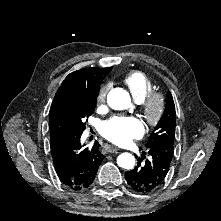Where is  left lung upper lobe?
I'll list each match as a JSON object with an SVG mask.
<instances>
[{
  "mask_svg": "<svg viewBox=\"0 0 221 221\" xmlns=\"http://www.w3.org/2000/svg\"><path fill=\"white\" fill-rule=\"evenodd\" d=\"M176 112L170 92L167 93L165 111L146 143L148 149L158 146L166 147L173 152L175 138Z\"/></svg>",
  "mask_w": 221,
  "mask_h": 221,
  "instance_id": "1",
  "label": "left lung upper lobe"
}]
</instances>
